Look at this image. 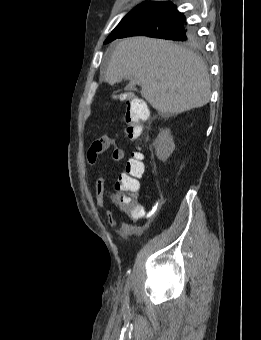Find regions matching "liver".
<instances>
[{
  "mask_svg": "<svg viewBox=\"0 0 261 340\" xmlns=\"http://www.w3.org/2000/svg\"><path fill=\"white\" fill-rule=\"evenodd\" d=\"M136 80L141 95L159 114L182 113L206 105L211 83L204 62L171 41L144 36L120 41L109 60L105 81Z\"/></svg>",
  "mask_w": 261,
  "mask_h": 340,
  "instance_id": "liver-1",
  "label": "liver"
}]
</instances>
